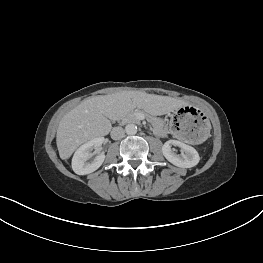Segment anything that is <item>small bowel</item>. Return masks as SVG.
<instances>
[{
    "label": "small bowel",
    "mask_w": 263,
    "mask_h": 263,
    "mask_svg": "<svg viewBox=\"0 0 263 263\" xmlns=\"http://www.w3.org/2000/svg\"><path fill=\"white\" fill-rule=\"evenodd\" d=\"M155 129H156V132L160 135H165L166 134V130L165 128H163L160 124H156L155 125Z\"/></svg>",
    "instance_id": "obj_1"
}]
</instances>
